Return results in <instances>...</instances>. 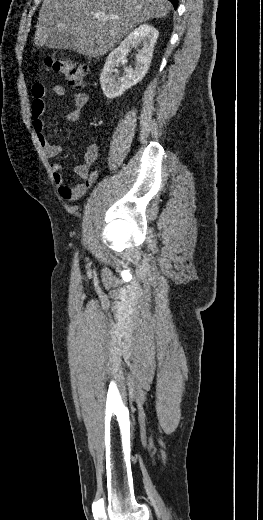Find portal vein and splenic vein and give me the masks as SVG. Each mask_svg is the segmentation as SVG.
<instances>
[{"mask_svg":"<svg viewBox=\"0 0 263 520\" xmlns=\"http://www.w3.org/2000/svg\"><path fill=\"white\" fill-rule=\"evenodd\" d=\"M94 16L97 19H112V20H114V19H119L120 18L117 15H109V16H107L104 13H95Z\"/></svg>","mask_w":263,"mask_h":520,"instance_id":"18ae733b","label":"portal vein and splenic vein"}]
</instances>
